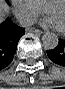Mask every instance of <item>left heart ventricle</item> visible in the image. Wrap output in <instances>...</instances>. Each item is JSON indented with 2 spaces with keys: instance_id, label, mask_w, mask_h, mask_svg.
<instances>
[{
  "instance_id": "obj_1",
  "label": "left heart ventricle",
  "mask_w": 65,
  "mask_h": 89,
  "mask_svg": "<svg viewBox=\"0 0 65 89\" xmlns=\"http://www.w3.org/2000/svg\"><path fill=\"white\" fill-rule=\"evenodd\" d=\"M48 14L61 24L62 29H65V7L62 4H49L46 7Z\"/></svg>"
}]
</instances>
